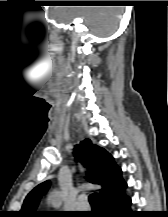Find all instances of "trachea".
Instances as JSON below:
<instances>
[{"instance_id": "obj_1", "label": "trachea", "mask_w": 168, "mask_h": 217, "mask_svg": "<svg viewBox=\"0 0 168 217\" xmlns=\"http://www.w3.org/2000/svg\"><path fill=\"white\" fill-rule=\"evenodd\" d=\"M89 202L92 206H98V195L93 193L89 196Z\"/></svg>"}]
</instances>
